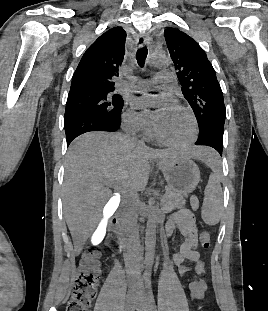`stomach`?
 <instances>
[{
  "label": "stomach",
  "instance_id": "0dacf381",
  "mask_svg": "<svg viewBox=\"0 0 268 311\" xmlns=\"http://www.w3.org/2000/svg\"><path fill=\"white\" fill-rule=\"evenodd\" d=\"M158 165L164 174L168 189L173 192L189 194L200 181L199 168L188 156L178 155L171 160H160Z\"/></svg>",
  "mask_w": 268,
  "mask_h": 311
}]
</instances>
